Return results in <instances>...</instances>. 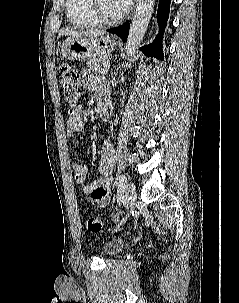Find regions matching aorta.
Returning <instances> with one entry per match:
<instances>
[{
  "label": "aorta",
  "instance_id": "762f6f07",
  "mask_svg": "<svg viewBox=\"0 0 239 303\" xmlns=\"http://www.w3.org/2000/svg\"><path fill=\"white\" fill-rule=\"evenodd\" d=\"M154 5L155 0H137L125 47L127 56H132L143 40L153 13Z\"/></svg>",
  "mask_w": 239,
  "mask_h": 303
}]
</instances>
